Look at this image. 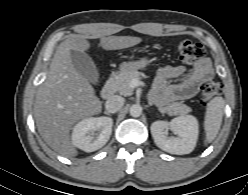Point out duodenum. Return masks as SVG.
Returning <instances> with one entry per match:
<instances>
[{
	"label": "duodenum",
	"instance_id": "obj_1",
	"mask_svg": "<svg viewBox=\"0 0 248 195\" xmlns=\"http://www.w3.org/2000/svg\"><path fill=\"white\" fill-rule=\"evenodd\" d=\"M114 83H115V74H111L101 90V96L103 99H110L114 95V91H115Z\"/></svg>",
	"mask_w": 248,
	"mask_h": 195
}]
</instances>
